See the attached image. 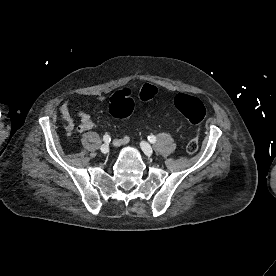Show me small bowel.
I'll use <instances>...</instances> for the list:
<instances>
[{
  "label": "small bowel",
  "instance_id": "obj_1",
  "mask_svg": "<svg viewBox=\"0 0 276 276\" xmlns=\"http://www.w3.org/2000/svg\"><path fill=\"white\" fill-rule=\"evenodd\" d=\"M81 100L88 101V99H81ZM90 101L102 103L105 101V98L102 96H97V97L90 99ZM60 113H61L65 128L67 130H72L74 128V122H73V119H72L71 113H70V102L69 101H65L61 105ZM77 114L80 118V124L77 126L78 132L82 133V132L91 130L94 127V125H95L94 121L88 112L78 109ZM129 141H130V137L128 135H124V136L116 139L114 141V145L116 147H120V146L127 144Z\"/></svg>",
  "mask_w": 276,
  "mask_h": 276
}]
</instances>
